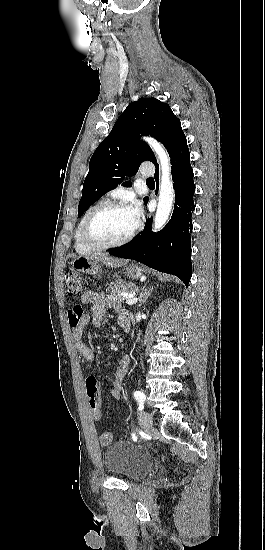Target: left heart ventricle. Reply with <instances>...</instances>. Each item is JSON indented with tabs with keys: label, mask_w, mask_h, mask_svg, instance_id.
Here are the masks:
<instances>
[{
	"label": "left heart ventricle",
	"mask_w": 265,
	"mask_h": 550,
	"mask_svg": "<svg viewBox=\"0 0 265 550\" xmlns=\"http://www.w3.org/2000/svg\"><path fill=\"white\" fill-rule=\"evenodd\" d=\"M136 224L128 208L109 209L94 218L90 233L99 241L113 242L128 235Z\"/></svg>",
	"instance_id": "obj_1"
}]
</instances>
